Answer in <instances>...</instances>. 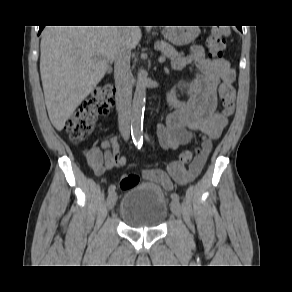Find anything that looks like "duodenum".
<instances>
[{
  "instance_id": "410a0bca",
  "label": "duodenum",
  "mask_w": 292,
  "mask_h": 292,
  "mask_svg": "<svg viewBox=\"0 0 292 292\" xmlns=\"http://www.w3.org/2000/svg\"><path fill=\"white\" fill-rule=\"evenodd\" d=\"M126 105V95L121 86H118L117 89V110L118 112H122Z\"/></svg>"
}]
</instances>
